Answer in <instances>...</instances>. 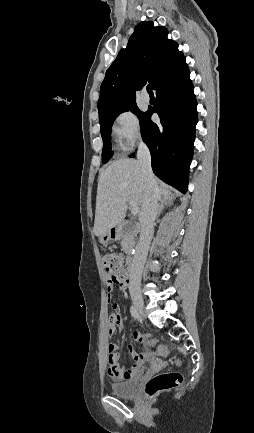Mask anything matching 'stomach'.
I'll return each instance as SVG.
<instances>
[{
  "label": "stomach",
  "instance_id": "obj_1",
  "mask_svg": "<svg viewBox=\"0 0 254 433\" xmlns=\"http://www.w3.org/2000/svg\"><path fill=\"white\" fill-rule=\"evenodd\" d=\"M111 237H112L111 233H107L100 237V241L101 243L106 244L109 242V240H111Z\"/></svg>",
  "mask_w": 254,
  "mask_h": 433
}]
</instances>
